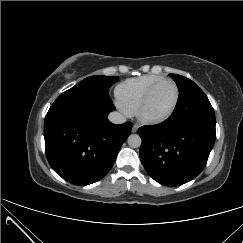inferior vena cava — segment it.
<instances>
[{
  "instance_id": "602c4592",
  "label": "inferior vena cava",
  "mask_w": 243,
  "mask_h": 243,
  "mask_svg": "<svg viewBox=\"0 0 243 243\" xmlns=\"http://www.w3.org/2000/svg\"><path fill=\"white\" fill-rule=\"evenodd\" d=\"M108 118L114 124H122L126 121V118L119 112H111Z\"/></svg>"
}]
</instances>
